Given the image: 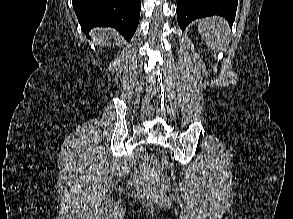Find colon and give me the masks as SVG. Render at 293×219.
I'll list each match as a JSON object with an SVG mask.
<instances>
[{"label":"colon","mask_w":293,"mask_h":219,"mask_svg":"<svg viewBox=\"0 0 293 219\" xmlns=\"http://www.w3.org/2000/svg\"><path fill=\"white\" fill-rule=\"evenodd\" d=\"M140 165L143 169L148 171H163L167 168L168 162L166 160L159 159L155 155L143 153L140 156ZM133 193L136 198L144 199L152 193V190L146 183L138 181L134 184Z\"/></svg>","instance_id":"obj_1"}]
</instances>
